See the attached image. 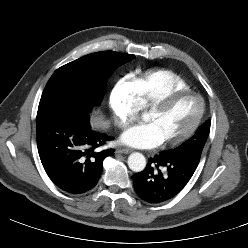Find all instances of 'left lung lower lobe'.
Here are the masks:
<instances>
[{
	"instance_id": "obj_1",
	"label": "left lung lower lobe",
	"mask_w": 248,
	"mask_h": 248,
	"mask_svg": "<svg viewBox=\"0 0 248 248\" xmlns=\"http://www.w3.org/2000/svg\"><path fill=\"white\" fill-rule=\"evenodd\" d=\"M199 161L198 155H155L143 171L132 176L134 190L148 203L168 201L186 186Z\"/></svg>"
}]
</instances>
